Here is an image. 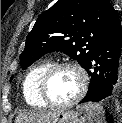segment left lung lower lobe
Instances as JSON below:
<instances>
[{"label":"left lung lower lobe","instance_id":"1","mask_svg":"<svg viewBox=\"0 0 122 123\" xmlns=\"http://www.w3.org/2000/svg\"><path fill=\"white\" fill-rule=\"evenodd\" d=\"M121 54L122 29L116 17L96 44L85 68L91 78L88 92L80 103L117 98L122 76Z\"/></svg>","mask_w":122,"mask_h":123}]
</instances>
